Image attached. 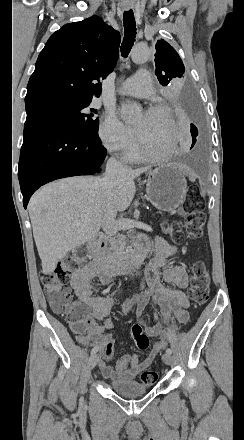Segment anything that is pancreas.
Listing matches in <instances>:
<instances>
[{
    "mask_svg": "<svg viewBox=\"0 0 244 440\" xmlns=\"http://www.w3.org/2000/svg\"><path fill=\"white\" fill-rule=\"evenodd\" d=\"M127 246V242H126V236H123V234H118L117 236V240H114V242H112L109 250H113V252H111L110 256H112V258H121V256H123V252L125 250Z\"/></svg>",
    "mask_w": 244,
    "mask_h": 440,
    "instance_id": "pancreas-1",
    "label": "pancreas"
}]
</instances>
